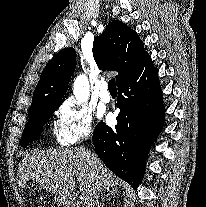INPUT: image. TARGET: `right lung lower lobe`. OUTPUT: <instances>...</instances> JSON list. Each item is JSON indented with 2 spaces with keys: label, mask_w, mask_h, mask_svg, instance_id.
<instances>
[{
  "label": "right lung lower lobe",
  "mask_w": 206,
  "mask_h": 207,
  "mask_svg": "<svg viewBox=\"0 0 206 207\" xmlns=\"http://www.w3.org/2000/svg\"><path fill=\"white\" fill-rule=\"evenodd\" d=\"M118 86V124L100 122L92 137L99 158L133 188L141 183L149 148L162 129L164 106L150 56Z\"/></svg>",
  "instance_id": "right-lung-lower-lobe-1"
}]
</instances>
